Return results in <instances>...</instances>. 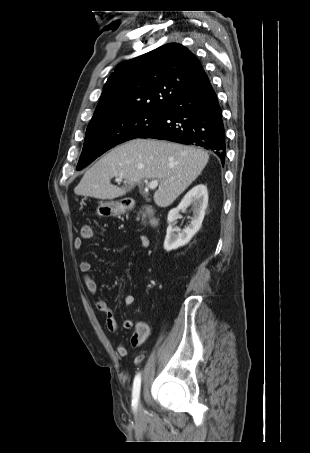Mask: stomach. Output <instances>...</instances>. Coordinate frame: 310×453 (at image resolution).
Masks as SVG:
<instances>
[{
  "label": "stomach",
  "instance_id": "0dacf381",
  "mask_svg": "<svg viewBox=\"0 0 310 453\" xmlns=\"http://www.w3.org/2000/svg\"><path fill=\"white\" fill-rule=\"evenodd\" d=\"M126 210L127 206L124 201H107L100 202L97 208V214L101 217H115L124 214Z\"/></svg>",
  "mask_w": 310,
  "mask_h": 453
}]
</instances>
